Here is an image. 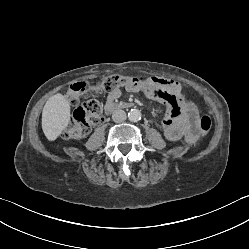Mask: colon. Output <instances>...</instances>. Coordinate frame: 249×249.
Here are the masks:
<instances>
[{
	"label": "colon",
	"mask_w": 249,
	"mask_h": 249,
	"mask_svg": "<svg viewBox=\"0 0 249 249\" xmlns=\"http://www.w3.org/2000/svg\"><path fill=\"white\" fill-rule=\"evenodd\" d=\"M138 83L134 77L110 75L97 83L93 90L95 92L106 90L111 91L116 88L126 87ZM88 90L85 82H77L69 87L67 98L76 103L79 98ZM103 107L97 100H89L83 106L77 108L63 131V137L67 139H80L86 136L91 127L101 120ZM198 127L203 134H207L212 128V121L209 116L203 115L198 121Z\"/></svg>",
	"instance_id": "5ec220e1"
}]
</instances>
